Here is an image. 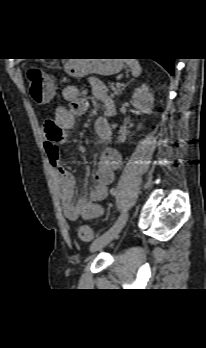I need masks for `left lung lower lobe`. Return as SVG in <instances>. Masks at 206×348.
Segmentation results:
<instances>
[{
    "mask_svg": "<svg viewBox=\"0 0 206 348\" xmlns=\"http://www.w3.org/2000/svg\"><path fill=\"white\" fill-rule=\"evenodd\" d=\"M174 58H162V59H156L158 63H160L171 75L174 74L173 67H174Z\"/></svg>",
    "mask_w": 206,
    "mask_h": 348,
    "instance_id": "left-lung-lower-lobe-1",
    "label": "left lung lower lobe"
}]
</instances>
